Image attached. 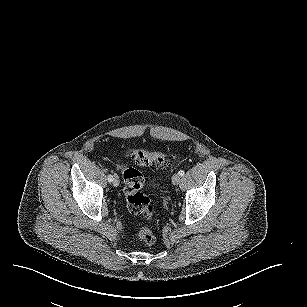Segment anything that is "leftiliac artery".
I'll return each instance as SVG.
<instances>
[{"instance_id": "1", "label": "left iliac artery", "mask_w": 307, "mask_h": 307, "mask_svg": "<svg viewBox=\"0 0 307 307\" xmlns=\"http://www.w3.org/2000/svg\"><path fill=\"white\" fill-rule=\"evenodd\" d=\"M178 174H179L180 176H184L185 172H184L183 170H180V171L178 172Z\"/></svg>"}]
</instances>
